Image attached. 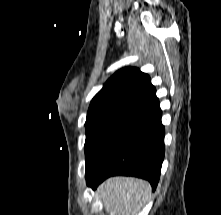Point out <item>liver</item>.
I'll list each match as a JSON object with an SVG mask.
<instances>
[{"label": "liver", "instance_id": "6515ba94", "mask_svg": "<svg viewBox=\"0 0 221 215\" xmlns=\"http://www.w3.org/2000/svg\"><path fill=\"white\" fill-rule=\"evenodd\" d=\"M150 194V184L133 177H112L97 189L107 213L114 215H137Z\"/></svg>", "mask_w": 221, "mask_h": 215}]
</instances>
